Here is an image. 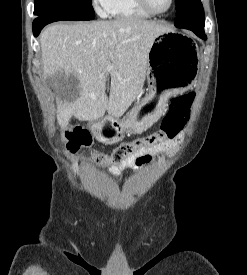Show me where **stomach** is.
Segmentation results:
<instances>
[{
	"label": "stomach",
	"instance_id": "obj_1",
	"mask_svg": "<svg viewBox=\"0 0 247 275\" xmlns=\"http://www.w3.org/2000/svg\"><path fill=\"white\" fill-rule=\"evenodd\" d=\"M197 57L194 43L184 35L168 31L156 37L147 55L149 94L134 105L124 120L107 118L93 123L91 130L97 140L113 144L123 138L126 130L137 133L147 130L163 114L170 96L194 85Z\"/></svg>",
	"mask_w": 247,
	"mask_h": 275
}]
</instances>
